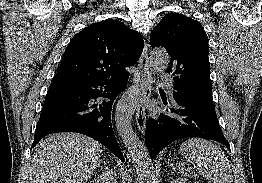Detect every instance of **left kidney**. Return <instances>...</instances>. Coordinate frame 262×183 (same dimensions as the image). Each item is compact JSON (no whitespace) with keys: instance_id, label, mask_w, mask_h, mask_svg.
Wrapping results in <instances>:
<instances>
[{"instance_id":"left-kidney-1","label":"left kidney","mask_w":262,"mask_h":183,"mask_svg":"<svg viewBox=\"0 0 262 183\" xmlns=\"http://www.w3.org/2000/svg\"><path fill=\"white\" fill-rule=\"evenodd\" d=\"M170 183H190V182L186 178H177V179H173Z\"/></svg>"}]
</instances>
